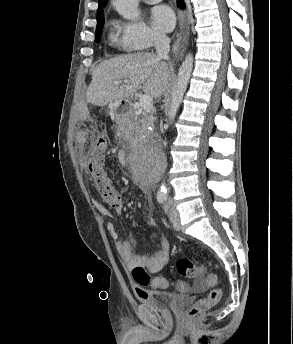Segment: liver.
Masks as SVG:
<instances>
[{
    "label": "liver",
    "instance_id": "1",
    "mask_svg": "<svg viewBox=\"0 0 293 344\" xmlns=\"http://www.w3.org/2000/svg\"><path fill=\"white\" fill-rule=\"evenodd\" d=\"M170 79L169 65L156 54L137 52L122 55L103 61L94 69L86 99L93 105L105 106L129 99L138 89H142L151 98H159ZM115 81L121 84L117 85Z\"/></svg>",
    "mask_w": 293,
    "mask_h": 344
}]
</instances>
